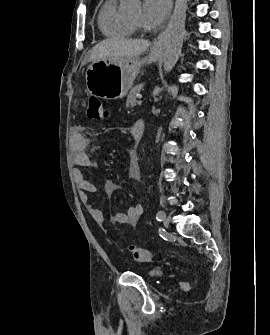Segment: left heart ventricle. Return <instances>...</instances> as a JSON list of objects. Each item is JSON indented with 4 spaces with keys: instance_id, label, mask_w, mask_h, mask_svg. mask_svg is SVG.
Returning a JSON list of instances; mask_svg holds the SVG:
<instances>
[{
    "instance_id": "obj_1",
    "label": "left heart ventricle",
    "mask_w": 270,
    "mask_h": 335,
    "mask_svg": "<svg viewBox=\"0 0 270 335\" xmlns=\"http://www.w3.org/2000/svg\"><path fill=\"white\" fill-rule=\"evenodd\" d=\"M128 20L131 21L135 26H139L141 21V12L132 15L130 18H128Z\"/></svg>"
}]
</instances>
